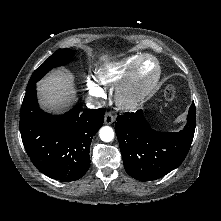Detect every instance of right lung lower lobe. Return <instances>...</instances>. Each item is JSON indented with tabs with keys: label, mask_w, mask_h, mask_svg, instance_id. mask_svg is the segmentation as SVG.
Masks as SVG:
<instances>
[{
	"label": "right lung lower lobe",
	"mask_w": 221,
	"mask_h": 221,
	"mask_svg": "<svg viewBox=\"0 0 221 221\" xmlns=\"http://www.w3.org/2000/svg\"><path fill=\"white\" fill-rule=\"evenodd\" d=\"M104 114V108L81 112L77 106L63 115L45 113L33 85L26 90L20 113L21 137L32 163L55 180L80 179L89 169L90 144Z\"/></svg>",
	"instance_id": "obj_1"
}]
</instances>
